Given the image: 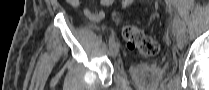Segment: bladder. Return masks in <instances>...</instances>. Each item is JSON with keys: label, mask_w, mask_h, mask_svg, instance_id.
Segmentation results:
<instances>
[{"label": "bladder", "mask_w": 209, "mask_h": 90, "mask_svg": "<svg viewBox=\"0 0 209 90\" xmlns=\"http://www.w3.org/2000/svg\"><path fill=\"white\" fill-rule=\"evenodd\" d=\"M129 74L140 88L150 90L164 80L166 67L159 63L133 64L129 68Z\"/></svg>", "instance_id": "obj_1"}]
</instances>
